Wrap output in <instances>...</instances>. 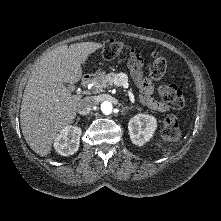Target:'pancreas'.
Listing matches in <instances>:
<instances>
[{"instance_id": "obj_1", "label": "pancreas", "mask_w": 221, "mask_h": 221, "mask_svg": "<svg viewBox=\"0 0 221 221\" xmlns=\"http://www.w3.org/2000/svg\"><path fill=\"white\" fill-rule=\"evenodd\" d=\"M117 79H119V74L116 73L101 74L98 78L92 80L94 85L92 86L91 90L94 94L100 93L103 91V88L113 86ZM124 80L127 81L126 76Z\"/></svg>"}]
</instances>
